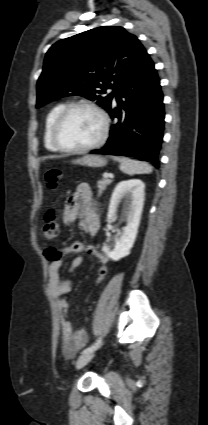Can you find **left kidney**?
Segmentation results:
<instances>
[{"label":"left kidney","mask_w":208,"mask_h":425,"mask_svg":"<svg viewBox=\"0 0 208 425\" xmlns=\"http://www.w3.org/2000/svg\"><path fill=\"white\" fill-rule=\"evenodd\" d=\"M144 190L145 184L141 180L131 179L119 182L112 193L107 215L110 220L117 219L121 199L128 196L124 209L127 224L123 228V232L119 233L120 237L116 240L112 250L109 246L102 248L103 252L114 261L128 256L133 247L143 211Z\"/></svg>","instance_id":"5707ae66"}]
</instances>
